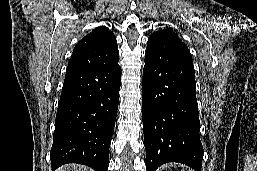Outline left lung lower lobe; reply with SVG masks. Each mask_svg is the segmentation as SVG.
I'll return each mask as SVG.
<instances>
[{"label":"left lung lower lobe","instance_id":"obj_1","mask_svg":"<svg viewBox=\"0 0 257 171\" xmlns=\"http://www.w3.org/2000/svg\"><path fill=\"white\" fill-rule=\"evenodd\" d=\"M142 90L147 171L168 162L201 171L204 150L192 58L169 50H146Z\"/></svg>","mask_w":257,"mask_h":171}]
</instances>
